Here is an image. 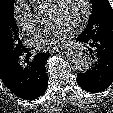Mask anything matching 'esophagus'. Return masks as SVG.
Listing matches in <instances>:
<instances>
[{
  "label": "esophagus",
  "mask_w": 113,
  "mask_h": 113,
  "mask_svg": "<svg viewBox=\"0 0 113 113\" xmlns=\"http://www.w3.org/2000/svg\"><path fill=\"white\" fill-rule=\"evenodd\" d=\"M58 52L65 53V54L70 55V56L72 54H74V50L72 48L62 49V50H60Z\"/></svg>",
  "instance_id": "obj_1"
}]
</instances>
